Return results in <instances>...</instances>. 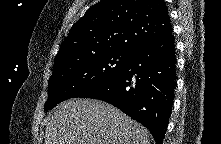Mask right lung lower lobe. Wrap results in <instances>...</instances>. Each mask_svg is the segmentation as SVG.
<instances>
[{
  "mask_svg": "<svg viewBox=\"0 0 221 144\" xmlns=\"http://www.w3.org/2000/svg\"><path fill=\"white\" fill-rule=\"evenodd\" d=\"M175 44L172 30L131 54L110 79L79 98L108 102L145 126L162 144L176 86Z\"/></svg>",
  "mask_w": 221,
  "mask_h": 144,
  "instance_id": "right-lung-lower-lobe-1",
  "label": "right lung lower lobe"
}]
</instances>
